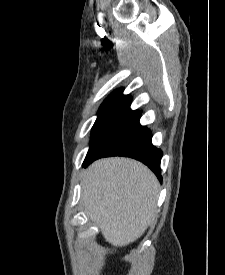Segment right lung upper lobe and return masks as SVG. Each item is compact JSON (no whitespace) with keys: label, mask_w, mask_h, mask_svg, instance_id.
Returning <instances> with one entry per match:
<instances>
[{"label":"right lung upper lobe","mask_w":225,"mask_h":275,"mask_svg":"<svg viewBox=\"0 0 225 275\" xmlns=\"http://www.w3.org/2000/svg\"><path fill=\"white\" fill-rule=\"evenodd\" d=\"M123 89H117L110 94L100 106L98 117L100 116H124L130 117L139 113L130 109L131 97L122 94Z\"/></svg>","instance_id":"obj_1"}]
</instances>
